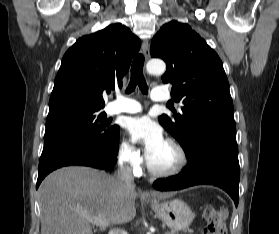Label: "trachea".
<instances>
[{
	"label": "trachea",
	"mask_w": 279,
	"mask_h": 234,
	"mask_svg": "<svg viewBox=\"0 0 279 234\" xmlns=\"http://www.w3.org/2000/svg\"><path fill=\"white\" fill-rule=\"evenodd\" d=\"M144 56L139 54L135 57L131 67V78L126 93H131L138 85L143 94L148 93V86L143 75Z\"/></svg>",
	"instance_id": "3493384b"
}]
</instances>
